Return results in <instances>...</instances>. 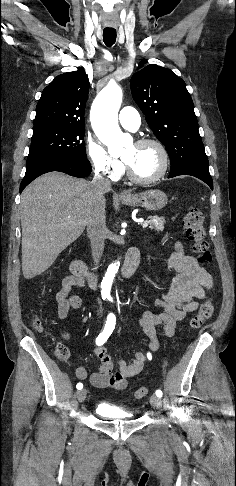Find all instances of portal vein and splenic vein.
Returning a JSON list of instances; mask_svg holds the SVG:
<instances>
[{"label":"portal vein and splenic vein","instance_id":"1","mask_svg":"<svg viewBox=\"0 0 236 486\" xmlns=\"http://www.w3.org/2000/svg\"><path fill=\"white\" fill-rule=\"evenodd\" d=\"M148 224H149V221H145V222L142 224L143 229L147 228V227H148Z\"/></svg>","mask_w":236,"mask_h":486}]
</instances>
